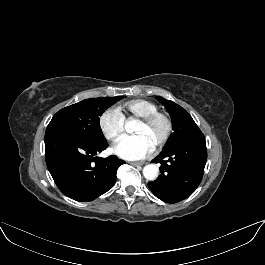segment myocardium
I'll return each instance as SVG.
<instances>
[{
	"mask_svg": "<svg viewBox=\"0 0 265 265\" xmlns=\"http://www.w3.org/2000/svg\"><path fill=\"white\" fill-rule=\"evenodd\" d=\"M156 120H162L165 124V130H164L163 136L154 145V149L157 150V149H160L163 146H165V144L169 141V139L172 135L173 122H172L171 117L167 113L156 111V112L150 113L146 116L139 118L138 122H140L144 125H149V124L155 122Z\"/></svg>",
	"mask_w": 265,
	"mask_h": 265,
	"instance_id": "1",
	"label": "myocardium"
}]
</instances>
